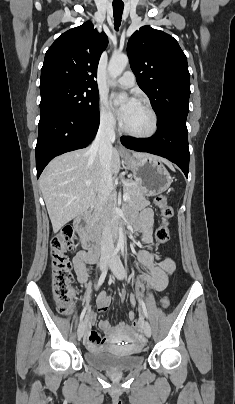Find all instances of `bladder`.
<instances>
[{
  "label": "bladder",
  "instance_id": "bladder-1",
  "mask_svg": "<svg viewBox=\"0 0 235 404\" xmlns=\"http://www.w3.org/2000/svg\"><path fill=\"white\" fill-rule=\"evenodd\" d=\"M117 348L104 346L87 351L84 354L85 361L95 368L109 372L131 371L143 363V356L134 354L136 349L121 354L116 351Z\"/></svg>",
  "mask_w": 235,
  "mask_h": 404
}]
</instances>
